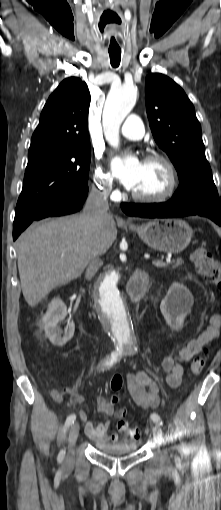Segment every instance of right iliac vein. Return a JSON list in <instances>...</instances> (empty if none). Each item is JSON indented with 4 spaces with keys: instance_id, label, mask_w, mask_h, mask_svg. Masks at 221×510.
Segmentation results:
<instances>
[{
    "instance_id": "63e3f726",
    "label": "right iliac vein",
    "mask_w": 221,
    "mask_h": 510,
    "mask_svg": "<svg viewBox=\"0 0 221 510\" xmlns=\"http://www.w3.org/2000/svg\"><path fill=\"white\" fill-rule=\"evenodd\" d=\"M79 430H80V426L78 423H74L70 430H69V438H68V441H69V446H70V454L71 456L69 457L67 463L70 465L72 463V455L74 453V445L77 441V438H78V435H79Z\"/></svg>"
}]
</instances>
